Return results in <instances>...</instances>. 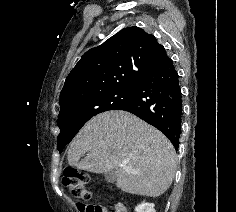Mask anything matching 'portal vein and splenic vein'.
<instances>
[{
  "label": "portal vein and splenic vein",
  "instance_id": "18ae733b",
  "mask_svg": "<svg viewBox=\"0 0 236 212\" xmlns=\"http://www.w3.org/2000/svg\"><path fill=\"white\" fill-rule=\"evenodd\" d=\"M121 167H123V169H125L126 171H131V172L134 173V174L138 173V171H136V170H131V169H129L128 167H126L125 165H121Z\"/></svg>",
  "mask_w": 236,
  "mask_h": 212
}]
</instances>
